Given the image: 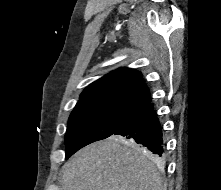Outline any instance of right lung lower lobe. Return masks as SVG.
<instances>
[{
  "label": "right lung lower lobe",
  "mask_w": 221,
  "mask_h": 190,
  "mask_svg": "<svg viewBox=\"0 0 221 190\" xmlns=\"http://www.w3.org/2000/svg\"><path fill=\"white\" fill-rule=\"evenodd\" d=\"M114 135L132 139L160 157L165 152L162 126L151 101L138 108Z\"/></svg>",
  "instance_id": "right-lung-lower-lobe-1"
}]
</instances>
